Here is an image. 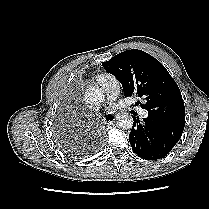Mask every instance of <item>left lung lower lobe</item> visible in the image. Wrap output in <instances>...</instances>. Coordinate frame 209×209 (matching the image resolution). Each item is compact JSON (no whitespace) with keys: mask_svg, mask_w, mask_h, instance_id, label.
<instances>
[{"mask_svg":"<svg viewBox=\"0 0 209 209\" xmlns=\"http://www.w3.org/2000/svg\"><path fill=\"white\" fill-rule=\"evenodd\" d=\"M133 120L129 141L132 150L145 160L164 158L179 141L185 125L177 119L152 115L143 122L138 117Z\"/></svg>","mask_w":209,"mask_h":209,"instance_id":"0a47b994","label":"left lung lower lobe"}]
</instances>
